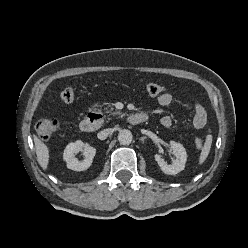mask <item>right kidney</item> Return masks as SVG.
<instances>
[{"label":"right kidney","instance_id":"right-kidney-1","mask_svg":"<svg viewBox=\"0 0 248 248\" xmlns=\"http://www.w3.org/2000/svg\"><path fill=\"white\" fill-rule=\"evenodd\" d=\"M83 151L84 160L78 161L75 154ZM96 154V149L87 143H83L78 140L76 142L69 143L63 153V158L66 161L67 168L74 171H84L87 170Z\"/></svg>","mask_w":248,"mask_h":248}]
</instances>
